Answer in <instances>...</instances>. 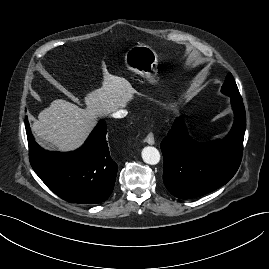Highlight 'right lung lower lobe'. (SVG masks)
Here are the masks:
<instances>
[{
  "label": "right lung lower lobe",
  "mask_w": 269,
  "mask_h": 269,
  "mask_svg": "<svg viewBox=\"0 0 269 269\" xmlns=\"http://www.w3.org/2000/svg\"><path fill=\"white\" fill-rule=\"evenodd\" d=\"M25 127L33 170L60 198L80 204L105 201L113 191L118 165L112 160L106 141L107 126L100 120L86 142L72 152H50L41 148Z\"/></svg>",
  "instance_id": "right-lung-lower-lobe-1"
}]
</instances>
